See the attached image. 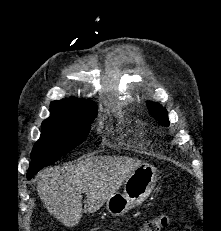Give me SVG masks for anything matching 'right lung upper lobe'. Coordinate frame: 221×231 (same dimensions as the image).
Instances as JSON below:
<instances>
[{"instance_id":"right-lung-upper-lobe-1","label":"right lung upper lobe","mask_w":221,"mask_h":231,"mask_svg":"<svg viewBox=\"0 0 221 231\" xmlns=\"http://www.w3.org/2000/svg\"><path fill=\"white\" fill-rule=\"evenodd\" d=\"M95 107L97 106H91L90 102L70 98L66 100L53 101L51 103L50 111L51 114L54 115H78Z\"/></svg>"}]
</instances>
